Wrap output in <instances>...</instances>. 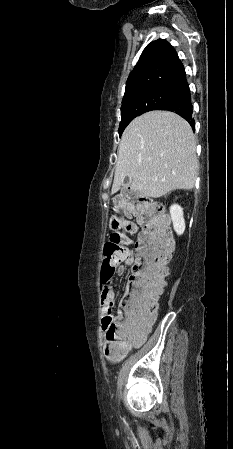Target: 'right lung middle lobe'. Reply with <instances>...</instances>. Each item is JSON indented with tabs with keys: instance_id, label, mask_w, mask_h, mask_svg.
<instances>
[{
	"instance_id": "dd1d6c3e",
	"label": "right lung middle lobe",
	"mask_w": 233,
	"mask_h": 449,
	"mask_svg": "<svg viewBox=\"0 0 233 449\" xmlns=\"http://www.w3.org/2000/svg\"><path fill=\"white\" fill-rule=\"evenodd\" d=\"M182 96L181 89L164 86L147 88L124 96L121 106L122 119L119 135L135 117L151 110H158L165 104L182 98Z\"/></svg>"
}]
</instances>
